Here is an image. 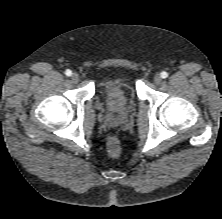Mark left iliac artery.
<instances>
[{
    "instance_id": "44dca946",
    "label": "left iliac artery",
    "mask_w": 222,
    "mask_h": 219,
    "mask_svg": "<svg viewBox=\"0 0 222 219\" xmlns=\"http://www.w3.org/2000/svg\"><path fill=\"white\" fill-rule=\"evenodd\" d=\"M161 77H162V78H167V77H168V73L165 72V71H163V72L161 73Z\"/></svg>"
}]
</instances>
